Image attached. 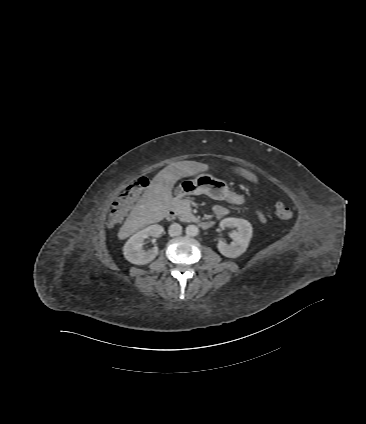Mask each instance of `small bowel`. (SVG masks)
Listing matches in <instances>:
<instances>
[{"mask_svg": "<svg viewBox=\"0 0 366 424\" xmlns=\"http://www.w3.org/2000/svg\"><path fill=\"white\" fill-rule=\"evenodd\" d=\"M214 213H215V215H216L217 218H221V217L225 216L228 213V211H227V209L224 206H222V205H216L214 207ZM255 213H256V216H257L258 220L261 223H265L266 222V216H265V214H264L263 211L256 210Z\"/></svg>", "mask_w": 366, "mask_h": 424, "instance_id": "obj_1", "label": "small bowel"}]
</instances>
